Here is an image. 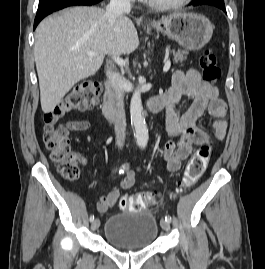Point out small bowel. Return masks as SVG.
<instances>
[{"instance_id":"obj_1","label":"small bowel","mask_w":265,"mask_h":269,"mask_svg":"<svg viewBox=\"0 0 265 269\" xmlns=\"http://www.w3.org/2000/svg\"><path fill=\"white\" fill-rule=\"evenodd\" d=\"M185 96L189 101L188 109L179 114L178 106L181 98ZM164 105L167 107L166 130L170 140L162 150V157L170 172H176L181 164L194 151L195 147L208 141V136L197 126V120L207 110L215 117L213 124L216 139L225 138L226 104L219 97V90L214 85L203 80L195 69L178 70L174 73L171 87L162 95ZM69 128L76 131L86 130L88 125L84 122H71ZM118 168H114L113 173ZM135 171H128L119 186L111 188L106 194L100 196L97 209L100 213L108 212L117 202L122 190L133 187Z\"/></svg>"}]
</instances>
